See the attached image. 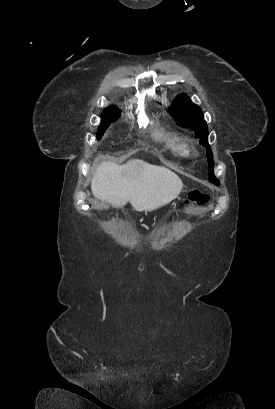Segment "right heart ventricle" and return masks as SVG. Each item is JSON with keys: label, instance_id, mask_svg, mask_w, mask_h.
I'll list each match as a JSON object with an SVG mask.
<instances>
[{"label": "right heart ventricle", "instance_id": "right-heart-ventricle-1", "mask_svg": "<svg viewBox=\"0 0 275 409\" xmlns=\"http://www.w3.org/2000/svg\"><path fill=\"white\" fill-rule=\"evenodd\" d=\"M152 137L165 145L171 152L182 155L185 149V141L176 134L161 129L154 130Z\"/></svg>", "mask_w": 275, "mask_h": 409}]
</instances>
